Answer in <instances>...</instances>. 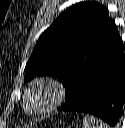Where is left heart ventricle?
I'll return each instance as SVG.
<instances>
[{
    "mask_svg": "<svg viewBox=\"0 0 125 128\" xmlns=\"http://www.w3.org/2000/svg\"><path fill=\"white\" fill-rule=\"evenodd\" d=\"M43 97L40 96V95H35L31 98V102L34 104V105H39L40 103L43 102Z\"/></svg>",
    "mask_w": 125,
    "mask_h": 128,
    "instance_id": "b2bd125f",
    "label": "left heart ventricle"
}]
</instances>
